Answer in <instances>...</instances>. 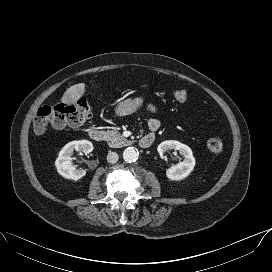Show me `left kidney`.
I'll return each instance as SVG.
<instances>
[{
    "label": "left kidney",
    "instance_id": "left-kidney-1",
    "mask_svg": "<svg viewBox=\"0 0 272 272\" xmlns=\"http://www.w3.org/2000/svg\"><path fill=\"white\" fill-rule=\"evenodd\" d=\"M178 150L184 157L182 162L168 168L166 170V176L170 180H182L185 179L194 169L195 158L193 157L192 150L185 144L175 140H168L158 145V153L163 158V154L168 150Z\"/></svg>",
    "mask_w": 272,
    "mask_h": 272
}]
</instances>
